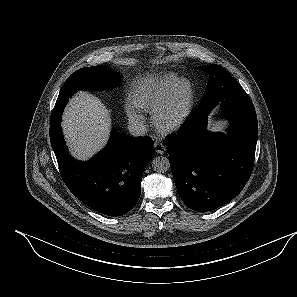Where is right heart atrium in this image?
<instances>
[{
	"label": "right heart atrium",
	"mask_w": 297,
	"mask_h": 297,
	"mask_svg": "<svg viewBox=\"0 0 297 297\" xmlns=\"http://www.w3.org/2000/svg\"><path fill=\"white\" fill-rule=\"evenodd\" d=\"M125 112L131 122H133L136 125L143 124L144 117L142 113L131 102L125 103Z\"/></svg>",
	"instance_id": "1"
}]
</instances>
